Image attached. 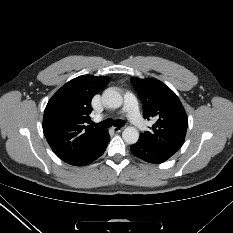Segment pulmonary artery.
<instances>
[{
  "label": "pulmonary artery",
  "instance_id": "1",
  "mask_svg": "<svg viewBox=\"0 0 233 233\" xmlns=\"http://www.w3.org/2000/svg\"><path fill=\"white\" fill-rule=\"evenodd\" d=\"M123 111L127 113L130 122L137 128L145 126V122L140 115L138 102L134 95L127 94L125 96V103Z\"/></svg>",
  "mask_w": 233,
  "mask_h": 233
}]
</instances>
